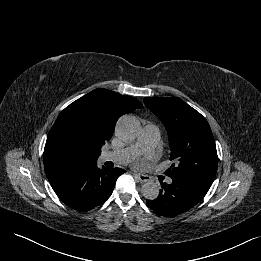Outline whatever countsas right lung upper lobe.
<instances>
[{"instance_id":"cb5924a9","label":"right lung upper lobe","mask_w":261,"mask_h":261,"mask_svg":"<svg viewBox=\"0 0 261 261\" xmlns=\"http://www.w3.org/2000/svg\"><path fill=\"white\" fill-rule=\"evenodd\" d=\"M143 105L134 97L99 88L67 106L49 131L44 168L49 179L97 163L116 121Z\"/></svg>"}]
</instances>
